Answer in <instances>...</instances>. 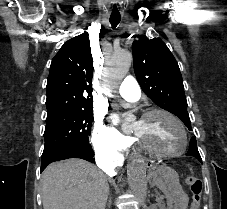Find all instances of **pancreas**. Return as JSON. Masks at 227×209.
<instances>
[{
	"mask_svg": "<svg viewBox=\"0 0 227 209\" xmlns=\"http://www.w3.org/2000/svg\"><path fill=\"white\" fill-rule=\"evenodd\" d=\"M163 199H164V197H162V200L160 201L161 203L158 204L157 206L160 207L159 209H168L167 204L164 203L165 201Z\"/></svg>",
	"mask_w": 227,
	"mask_h": 209,
	"instance_id": "obj_1",
	"label": "pancreas"
}]
</instances>
